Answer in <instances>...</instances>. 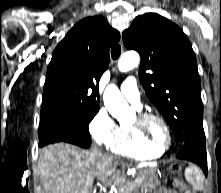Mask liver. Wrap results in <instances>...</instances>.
<instances>
[{
  "label": "liver",
  "mask_w": 221,
  "mask_h": 193,
  "mask_svg": "<svg viewBox=\"0 0 221 193\" xmlns=\"http://www.w3.org/2000/svg\"><path fill=\"white\" fill-rule=\"evenodd\" d=\"M38 164L45 193H91L94 180L111 175L118 160L100 149L57 143L40 150Z\"/></svg>",
  "instance_id": "liver-1"
}]
</instances>
